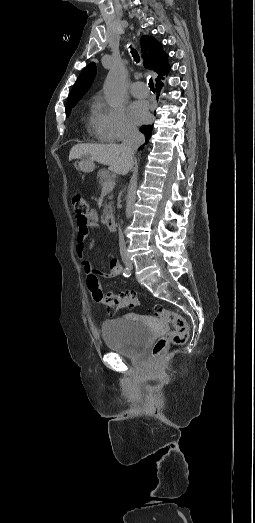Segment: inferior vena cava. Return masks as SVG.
Here are the masks:
<instances>
[{"instance_id":"1","label":"inferior vena cava","mask_w":255,"mask_h":523,"mask_svg":"<svg viewBox=\"0 0 255 523\" xmlns=\"http://www.w3.org/2000/svg\"><path fill=\"white\" fill-rule=\"evenodd\" d=\"M141 144H144V136L143 134H140L138 128L136 126H127L126 132H125V138L123 140V150L121 154V158L127 162L128 166L132 168L134 162H133V156L138 150L139 146ZM119 248H120V254H126V244L123 236V232L121 228H119Z\"/></svg>"}]
</instances>
